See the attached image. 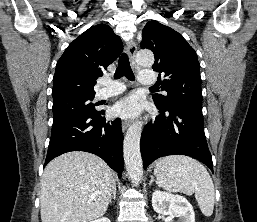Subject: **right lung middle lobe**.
I'll return each instance as SVG.
<instances>
[{
    "instance_id": "right-lung-middle-lobe-1",
    "label": "right lung middle lobe",
    "mask_w": 257,
    "mask_h": 222,
    "mask_svg": "<svg viewBox=\"0 0 257 222\" xmlns=\"http://www.w3.org/2000/svg\"><path fill=\"white\" fill-rule=\"evenodd\" d=\"M94 95L67 98L53 102V122L71 116H91L100 111L95 109L97 103H92Z\"/></svg>"
}]
</instances>
